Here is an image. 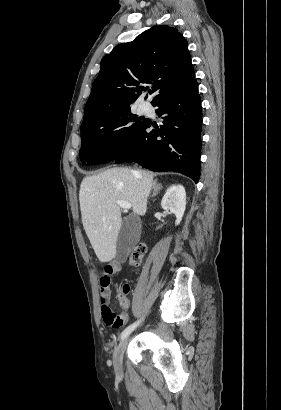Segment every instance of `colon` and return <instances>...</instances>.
Returning a JSON list of instances; mask_svg holds the SVG:
<instances>
[{
  "label": "colon",
  "mask_w": 281,
  "mask_h": 410,
  "mask_svg": "<svg viewBox=\"0 0 281 410\" xmlns=\"http://www.w3.org/2000/svg\"><path fill=\"white\" fill-rule=\"evenodd\" d=\"M147 248L143 243L138 244L129 256V264L133 267H138L143 261V258L146 254ZM129 292V286L127 284H121L117 286V294L120 300V304L123 307L128 305L126 296ZM105 323L113 328H118L121 326L122 317L117 315L111 308H107L103 314Z\"/></svg>",
  "instance_id": "5ec220e1"
}]
</instances>
